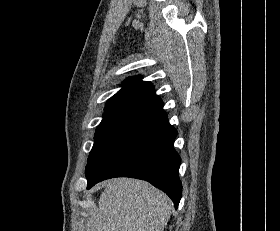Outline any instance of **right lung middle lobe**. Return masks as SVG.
Here are the masks:
<instances>
[{
  "label": "right lung middle lobe",
  "mask_w": 280,
  "mask_h": 231,
  "mask_svg": "<svg viewBox=\"0 0 280 231\" xmlns=\"http://www.w3.org/2000/svg\"><path fill=\"white\" fill-rule=\"evenodd\" d=\"M132 126L134 124L128 121L102 120L95 132L94 145L88 157V164L102 148Z\"/></svg>",
  "instance_id": "obj_1"
}]
</instances>
